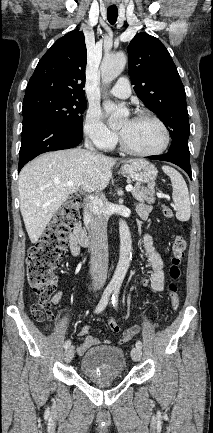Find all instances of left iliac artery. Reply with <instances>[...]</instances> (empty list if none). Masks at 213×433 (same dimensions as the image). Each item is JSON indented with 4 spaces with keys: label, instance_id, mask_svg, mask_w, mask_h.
Masks as SVG:
<instances>
[{
    "label": "left iliac artery",
    "instance_id": "44dca946",
    "mask_svg": "<svg viewBox=\"0 0 213 433\" xmlns=\"http://www.w3.org/2000/svg\"><path fill=\"white\" fill-rule=\"evenodd\" d=\"M118 295H119V287H116V288H114V293L112 295V304L115 308H117V305H118ZM136 347L141 349L142 348V342L137 341Z\"/></svg>",
    "mask_w": 213,
    "mask_h": 433
}]
</instances>
